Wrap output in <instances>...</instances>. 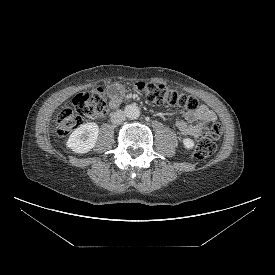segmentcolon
<instances>
[{
    "label": "colon",
    "instance_id": "5ec220e1",
    "mask_svg": "<svg viewBox=\"0 0 275 275\" xmlns=\"http://www.w3.org/2000/svg\"><path fill=\"white\" fill-rule=\"evenodd\" d=\"M134 91L156 105L177 106L188 111L199 107V101L192 95L179 93L162 84L138 82ZM73 110L61 111L55 121V129L59 136H66L84 121L101 117L106 111V94L102 88H96L87 93L76 95L73 100ZM221 136V127L214 124L203 129L195 146L194 155L198 159L210 157L216 150V141Z\"/></svg>",
    "mask_w": 275,
    "mask_h": 275
}]
</instances>
